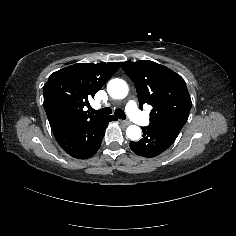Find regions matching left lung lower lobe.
<instances>
[{
  "mask_svg": "<svg viewBox=\"0 0 236 236\" xmlns=\"http://www.w3.org/2000/svg\"><path fill=\"white\" fill-rule=\"evenodd\" d=\"M143 138L130 142L131 150L142 157H155L168 149L176 140L179 131L146 126L142 128Z\"/></svg>",
  "mask_w": 236,
  "mask_h": 236,
  "instance_id": "0a47b994",
  "label": "left lung lower lobe"
}]
</instances>
